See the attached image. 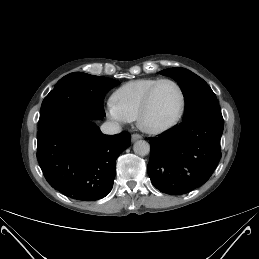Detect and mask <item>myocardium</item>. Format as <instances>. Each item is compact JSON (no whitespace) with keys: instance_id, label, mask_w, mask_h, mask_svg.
<instances>
[{"instance_id":"myocardium-1","label":"myocardium","mask_w":259,"mask_h":259,"mask_svg":"<svg viewBox=\"0 0 259 259\" xmlns=\"http://www.w3.org/2000/svg\"><path fill=\"white\" fill-rule=\"evenodd\" d=\"M165 82L173 84L178 90L179 97H180V105H179L178 112L176 116L168 123L161 126H150L146 123V117L151 107L154 92L160 84ZM185 105H186L185 94L181 85L177 81L171 78L159 79L150 87V89L147 91L145 95V98L143 100L142 106L140 108V111L137 117V124L141 130L149 134L158 135V134L165 133L179 123V121L183 117V114L185 111Z\"/></svg>"}]
</instances>
